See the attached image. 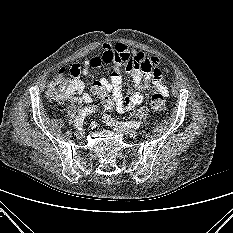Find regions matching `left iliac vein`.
<instances>
[{
	"label": "left iliac vein",
	"instance_id": "4c4485c4",
	"mask_svg": "<svg viewBox=\"0 0 233 233\" xmlns=\"http://www.w3.org/2000/svg\"><path fill=\"white\" fill-rule=\"evenodd\" d=\"M107 125L110 127H113L115 130H117L125 135L131 136V137H135L138 134V131L131 129V128L124 127L122 125H109V124H107Z\"/></svg>",
	"mask_w": 233,
	"mask_h": 233
}]
</instances>
